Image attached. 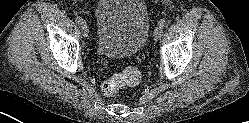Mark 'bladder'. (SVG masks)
<instances>
[{
    "label": "bladder",
    "instance_id": "obj_1",
    "mask_svg": "<svg viewBox=\"0 0 249 123\" xmlns=\"http://www.w3.org/2000/svg\"><path fill=\"white\" fill-rule=\"evenodd\" d=\"M95 18L100 54L108 58H126L143 48L150 30L144 0H100Z\"/></svg>",
    "mask_w": 249,
    "mask_h": 123
}]
</instances>
